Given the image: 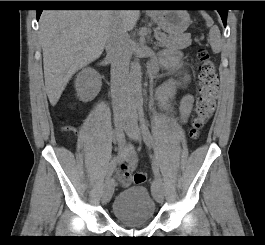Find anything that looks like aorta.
<instances>
[{
    "instance_id": "1",
    "label": "aorta",
    "mask_w": 265,
    "mask_h": 245,
    "mask_svg": "<svg viewBox=\"0 0 265 245\" xmlns=\"http://www.w3.org/2000/svg\"><path fill=\"white\" fill-rule=\"evenodd\" d=\"M142 70L141 64L138 60H135L131 64L130 73H129V94L133 102H138L142 98Z\"/></svg>"
}]
</instances>
